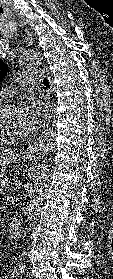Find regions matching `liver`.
Wrapping results in <instances>:
<instances>
[{"instance_id": "1", "label": "liver", "mask_w": 113, "mask_h": 279, "mask_svg": "<svg viewBox=\"0 0 113 279\" xmlns=\"http://www.w3.org/2000/svg\"><path fill=\"white\" fill-rule=\"evenodd\" d=\"M19 154L12 150H1L0 151V167H3L7 164L14 162Z\"/></svg>"}]
</instances>
